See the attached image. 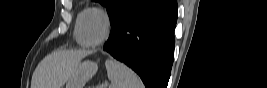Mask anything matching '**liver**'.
Listing matches in <instances>:
<instances>
[{
  "label": "liver",
  "mask_w": 267,
  "mask_h": 88,
  "mask_svg": "<svg viewBox=\"0 0 267 88\" xmlns=\"http://www.w3.org/2000/svg\"><path fill=\"white\" fill-rule=\"evenodd\" d=\"M90 51L63 50L47 55L36 67L31 88H62Z\"/></svg>",
  "instance_id": "1"
}]
</instances>
